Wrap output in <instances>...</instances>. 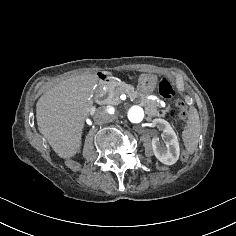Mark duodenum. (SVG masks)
<instances>
[{"instance_id": "duodenum-1", "label": "duodenum", "mask_w": 236, "mask_h": 236, "mask_svg": "<svg viewBox=\"0 0 236 236\" xmlns=\"http://www.w3.org/2000/svg\"><path fill=\"white\" fill-rule=\"evenodd\" d=\"M114 76L110 73H99L98 81L100 84H107L114 81Z\"/></svg>"}]
</instances>
